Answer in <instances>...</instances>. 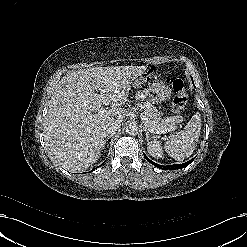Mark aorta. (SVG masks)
Returning <instances> with one entry per match:
<instances>
[{"instance_id": "1", "label": "aorta", "mask_w": 247, "mask_h": 247, "mask_svg": "<svg viewBox=\"0 0 247 247\" xmlns=\"http://www.w3.org/2000/svg\"><path fill=\"white\" fill-rule=\"evenodd\" d=\"M126 133L131 135V136H135L138 134V126L136 123L131 122L126 126Z\"/></svg>"}]
</instances>
